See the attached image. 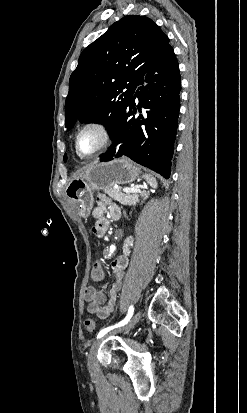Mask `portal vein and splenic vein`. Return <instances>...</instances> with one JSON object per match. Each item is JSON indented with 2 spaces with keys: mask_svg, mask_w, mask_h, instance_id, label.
Segmentation results:
<instances>
[{
  "mask_svg": "<svg viewBox=\"0 0 247 413\" xmlns=\"http://www.w3.org/2000/svg\"><path fill=\"white\" fill-rule=\"evenodd\" d=\"M123 192H140V188H123Z\"/></svg>",
  "mask_w": 247,
  "mask_h": 413,
  "instance_id": "obj_1",
  "label": "portal vein and splenic vein"
}]
</instances>
